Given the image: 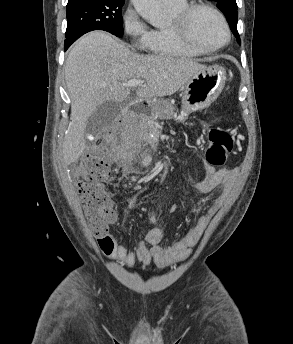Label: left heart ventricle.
<instances>
[{"label": "left heart ventricle", "mask_w": 293, "mask_h": 344, "mask_svg": "<svg viewBox=\"0 0 293 344\" xmlns=\"http://www.w3.org/2000/svg\"><path fill=\"white\" fill-rule=\"evenodd\" d=\"M193 40L206 48L216 47L226 39V33L219 19L210 11L197 10L189 24Z\"/></svg>", "instance_id": "1"}]
</instances>
